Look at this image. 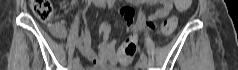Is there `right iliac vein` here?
I'll return each mask as SVG.
<instances>
[{
    "label": "right iliac vein",
    "mask_w": 238,
    "mask_h": 70,
    "mask_svg": "<svg viewBox=\"0 0 238 70\" xmlns=\"http://www.w3.org/2000/svg\"><path fill=\"white\" fill-rule=\"evenodd\" d=\"M80 69H81V65L79 63L73 64V70H80Z\"/></svg>",
    "instance_id": "obj_1"
}]
</instances>
